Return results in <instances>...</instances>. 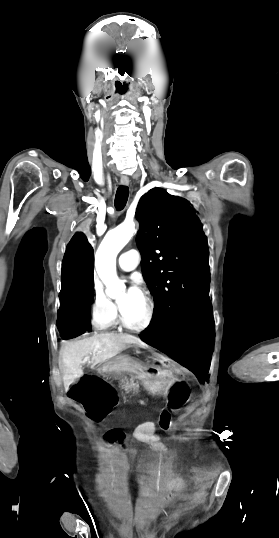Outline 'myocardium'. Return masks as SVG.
<instances>
[{
	"mask_svg": "<svg viewBox=\"0 0 279 538\" xmlns=\"http://www.w3.org/2000/svg\"><path fill=\"white\" fill-rule=\"evenodd\" d=\"M103 226V222L102 220L98 219V222H97V228H101ZM134 235V234H132ZM139 295L142 296V298L144 299L145 303H146V307H147V314H146V317L144 319V321L140 324V325H132L130 324L125 315H124V312H123V309H122V306H121V303L119 301H117V304H118V309H119V323L128 331L132 332V333H142L144 331H146L152 324L153 320H154V316H155V305H154V302L152 300V298L150 297L149 294H147L146 292H141L139 291L138 293Z\"/></svg>",
	"mask_w": 279,
	"mask_h": 538,
	"instance_id": "f54148a6",
	"label": "myocardium"
}]
</instances>
